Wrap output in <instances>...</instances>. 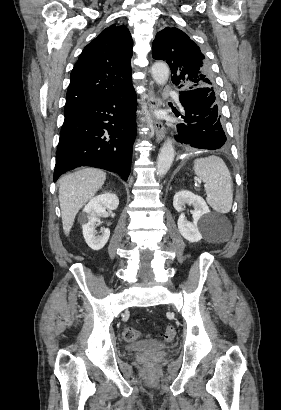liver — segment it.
Masks as SVG:
<instances>
[{"label":"liver","mask_w":281,"mask_h":410,"mask_svg":"<svg viewBox=\"0 0 281 410\" xmlns=\"http://www.w3.org/2000/svg\"><path fill=\"white\" fill-rule=\"evenodd\" d=\"M105 180L106 173L95 168H84L59 180V202L66 236L79 210L96 194Z\"/></svg>","instance_id":"1"}]
</instances>
